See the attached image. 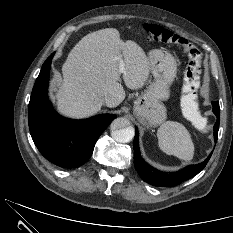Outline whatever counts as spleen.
Returning a JSON list of instances; mask_svg holds the SVG:
<instances>
[{"label":"spleen","mask_w":233,"mask_h":233,"mask_svg":"<svg viewBox=\"0 0 233 233\" xmlns=\"http://www.w3.org/2000/svg\"><path fill=\"white\" fill-rule=\"evenodd\" d=\"M190 108H184V112L193 122L197 123L200 119L197 113L196 103L192 102ZM157 136L159 147L166 154L174 155L185 161L193 158L194 143L189 131L182 124L174 121H166L158 129Z\"/></svg>","instance_id":"1"}]
</instances>
